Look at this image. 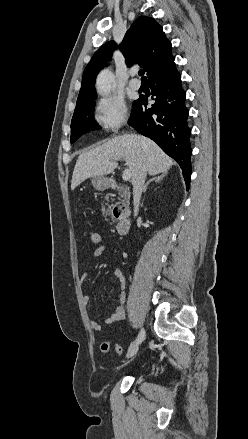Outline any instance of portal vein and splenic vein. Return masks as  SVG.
<instances>
[{
  "mask_svg": "<svg viewBox=\"0 0 248 439\" xmlns=\"http://www.w3.org/2000/svg\"><path fill=\"white\" fill-rule=\"evenodd\" d=\"M122 178H123L124 181L130 180V178H131V171L129 169H125L123 171Z\"/></svg>",
  "mask_w": 248,
  "mask_h": 439,
  "instance_id": "portal-vein-and-splenic-vein-1",
  "label": "portal vein and splenic vein"
}]
</instances>
